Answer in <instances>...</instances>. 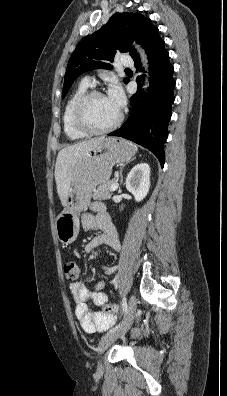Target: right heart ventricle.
<instances>
[{"label": "right heart ventricle", "instance_id": "1", "mask_svg": "<svg viewBox=\"0 0 227 396\" xmlns=\"http://www.w3.org/2000/svg\"><path fill=\"white\" fill-rule=\"evenodd\" d=\"M88 88L89 85H87L86 83L84 82L80 83L68 98L63 110V114H62L63 130L66 137L73 141L80 140L88 136L87 133L81 131L76 126L74 121L75 106L78 100L81 98V96L86 91H88Z\"/></svg>", "mask_w": 227, "mask_h": 396}]
</instances>
